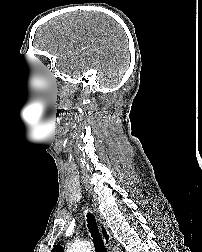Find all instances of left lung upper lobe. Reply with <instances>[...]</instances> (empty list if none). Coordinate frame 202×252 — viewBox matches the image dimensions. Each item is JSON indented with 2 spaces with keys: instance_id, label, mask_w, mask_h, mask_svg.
Returning a JSON list of instances; mask_svg holds the SVG:
<instances>
[{
  "instance_id": "left-lung-upper-lobe-1",
  "label": "left lung upper lobe",
  "mask_w": 202,
  "mask_h": 252,
  "mask_svg": "<svg viewBox=\"0 0 202 252\" xmlns=\"http://www.w3.org/2000/svg\"><path fill=\"white\" fill-rule=\"evenodd\" d=\"M51 252H63L60 246L55 247Z\"/></svg>"
}]
</instances>
